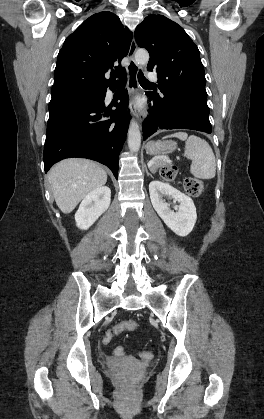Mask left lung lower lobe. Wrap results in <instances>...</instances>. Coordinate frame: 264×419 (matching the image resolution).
<instances>
[{"instance_id":"left-lung-lower-lobe-1","label":"left lung lower lobe","mask_w":264,"mask_h":419,"mask_svg":"<svg viewBox=\"0 0 264 419\" xmlns=\"http://www.w3.org/2000/svg\"><path fill=\"white\" fill-rule=\"evenodd\" d=\"M160 94L148 91L152 104L143 123V139L146 140L158 129H191L211 133L209 107L205 86L188 90L183 85H175L166 90L158 85Z\"/></svg>"}]
</instances>
